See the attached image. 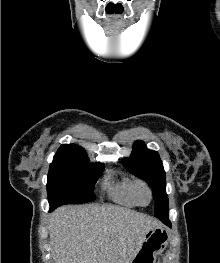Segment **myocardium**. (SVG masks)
<instances>
[{"mask_svg":"<svg viewBox=\"0 0 220 263\" xmlns=\"http://www.w3.org/2000/svg\"><path fill=\"white\" fill-rule=\"evenodd\" d=\"M145 194L147 196V200L145 202L142 201V195ZM135 199L138 205H148L152 200V191L147 183L144 181H137L135 187Z\"/></svg>","mask_w":220,"mask_h":263,"instance_id":"1","label":"myocardium"}]
</instances>
